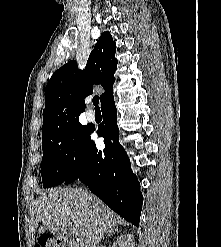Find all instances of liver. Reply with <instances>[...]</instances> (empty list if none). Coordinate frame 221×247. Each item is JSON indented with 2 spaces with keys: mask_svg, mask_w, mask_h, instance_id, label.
I'll return each instance as SVG.
<instances>
[{
  "mask_svg": "<svg viewBox=\"0 0 221 247\" xmlns=\"http://www.w3.org/2000/svg\"><path fill=\"white\" fill-rule=\"evenodd\" d=\"M116 224L114 213L96 196L79 188H66L50 190L38 198L31 231L34 240L38 227L39 232L49 230L53 234L61 228V236H77L80 247H97L103 235L114 230Z\"/></svg>",
  "mask_w": 221,
  "mask_h": 247,
  "instance_id": "1",
  "label": "liver"
}]
</instances>
